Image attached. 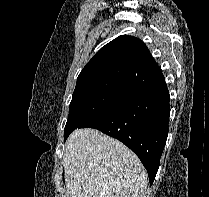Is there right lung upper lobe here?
<instances>
[{
	"mask_svg": "<svg viewBox=\"0 0 209 197\" xmlns=\"http://www.w3.org/2000/svg\"><path fill=\"white\" fill-rule=\"evenodd\" d=\"M101 80L139 91L161 82L164 76L140 39L121 35L102 47L77 78V82Z\"/></svg>",
	"mask_w": 209,
	"mask_h": 197,
	"instance_id": "1",
	"label": "right lung upper lobe"
}]
</instances>
